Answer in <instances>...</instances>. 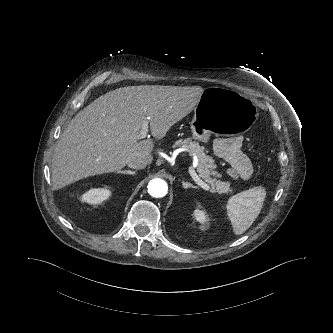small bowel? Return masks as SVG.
Returning a JSON list of instances; mask_svg holds the SVG:
<instances>
[{"mask_svg":"<svg viewBox=\"0 0 333 333\" xmlns=\"http://www.w3.org/2000/svg\"><path fill=\"white\" fill-rule=\"evenodd\" d=\"M215 155L226 162L227 174L235 181L249 180L253 173L250 159L243 152V138L240 136L218 138L214 141Z\"/></svg>","mask_w":333,"mask_h":333,"instance_id":"small-bowel-1","label":"small bowel"}]
</instances>
